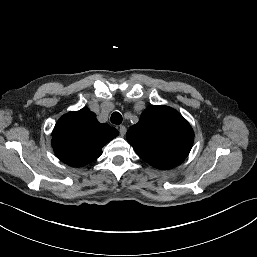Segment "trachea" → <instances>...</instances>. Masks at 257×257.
<instances>
[{"instance_id":"1","label":"trachea","mask_w":257,"mask_h":257,"mask_svg":"<svg viewBox=\"0 0 257 257\" xmlns=\"http://www.w3.org/2000/svg\"><path fill=\"white\" fill-rule=\"evenodd\" d=\"M111 122L113 124H117V125L121 124L122 123V116H121V114L119 112L112 113V115H111Z\"/></svg>"}]
</instances>
